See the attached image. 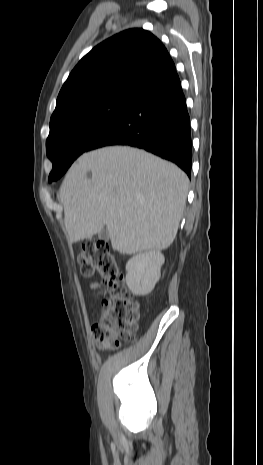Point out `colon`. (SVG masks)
Instances as JSON below:
<instances>
[{
  "instance_id": "5ec220e1",
  "label": "colon",
  "mask_w": 263,
  "mask_h": 465,
  "mask_svg": "<svg viewBox=\"0 0 263 465\" xmlns=\"http://www.w3.org/2000/svg\"><path fill=\"white\" fill-rule=\"evenodd\" d=\"M79 261L84 276L91 277L97 272L106 287L103 313L92 333L101 349H114L118 347L119 339L130 340L137 331L138 305L130 298L120 266L105 241H85Z\"/></svg>"
}]
</instances>
